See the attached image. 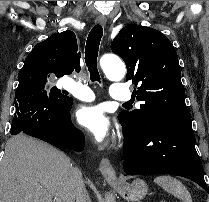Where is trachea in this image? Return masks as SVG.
I'll use <instances>...</instances> for the list:
<instances>
[{
    "label": "trachea",
    "mask_w": 209,
    "mask_h": 202,
    "mask_svg": "<svg viewBox=\"0 0 209 202\" xmlns=\"http://www.w3.org/2000/svg\"><path fill=\"white\" fill-rule=\"evenodd\" d=\"M102 35L103 28L100 24H97L91 29L86 41L85 63L92 82H100V75L97 68V57Z\"/></svg>",
    "instance_id": "obj_1"
}]
</instances>
